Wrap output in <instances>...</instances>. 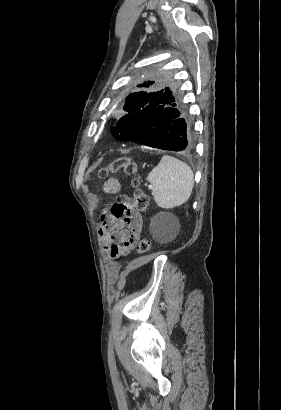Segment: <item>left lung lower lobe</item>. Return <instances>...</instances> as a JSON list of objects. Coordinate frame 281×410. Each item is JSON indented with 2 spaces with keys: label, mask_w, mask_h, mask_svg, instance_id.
I'll return each mask as SVG.
<instances>
[{
  "label": "left lung lower lobe",
  "mask_w": 281,
  "mask_h": 410,
  "mask_svg": "<svg viewBox=\"0 0 281 410\" xmlns=\"http://www.w3.org/2000/svg\"><path fill=\"white\" fill-rule=\"evenodd\" d=\"M115 129L119 133L117 140L182 152L194 147L191 122L177 104L171 87L157 91L141 110L120 118Z\"/></svg>",
  "instance_id": "obj_1"
}]
</instances>
